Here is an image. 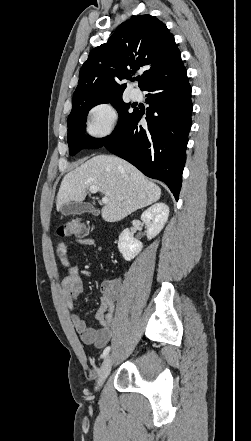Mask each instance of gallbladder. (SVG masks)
<instances>
[{
	"label": "gallbladder",
	"instance_id": "1",
	"mask_svg": "<svg viewBox=\"0 0 251 441\" xmlns=\"http://www.w3.org/2000/svg\"><path fill=\"white\" fill-rule=\"evenodd\" d=\"M64 215H80L83 213H92L98 215L99 211L89 203L68 202L62 208Z\"/></svg>",
	"mask_w": 251,
	"mask_h": 441
}]
</instances>
